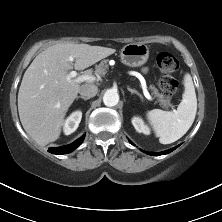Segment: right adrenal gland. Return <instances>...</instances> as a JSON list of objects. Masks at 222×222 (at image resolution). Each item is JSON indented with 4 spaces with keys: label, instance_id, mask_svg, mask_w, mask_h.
<instances>
[{
    "label": "right adrenal gland",
    "instance_id": "1",
    "mask_svg": "<svg viewBox=\"0 0 222 222\" xmlns=\"http://www.w3.org/2000/svg\"><path fill=\"white\" fill-rule=\"evenodd\" d=\"M78 99H83V100H85V101L88 100V98H85V97H82V96H77V97H76V100H78Z\"/></svg>",
    "mask_w": 222,
    "mask_h": 222
}]
</instances>
